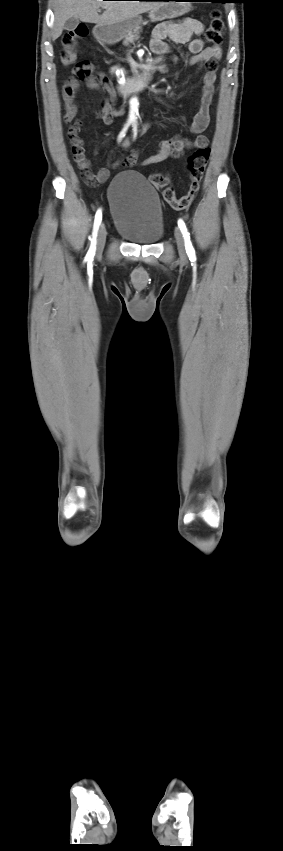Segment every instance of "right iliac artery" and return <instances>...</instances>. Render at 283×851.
Listing matches in <instances>:
<instances>
[{
	"label": "right iliac artery",
	"mask_w": 283,
	"mask_h": 851,
	"mask_svg": "<svg viewBox=\"0 0 283 851\" xmlns=\"http://www.w3.org/2000/svg\"><path fill=\"white\" fill-rule=\"evenodd\" d=\"M126 129H127V127H125L123 129V131L120 133L119 140L122 137H124ZM101 220H102V213H101V210L99 209L97 211L96 215H95L94 229H93V234H92V244H91V247H90V249L87 253V256L91 257V258H93L94 254H95V243H96L97 230H98V227L101 223Z\"/></svg>",
	"instance_id": "1"
}]
</instances>
